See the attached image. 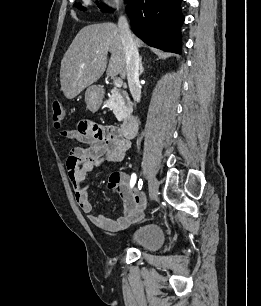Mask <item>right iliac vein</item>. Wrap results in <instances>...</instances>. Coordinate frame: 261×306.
Masks as SVG:
<instances>
[{
  "instance_id": "63e3f726",
  "label": "right iliac vein",
  "mask_w": 261,
  "mask_h": 306,
  "mask_svg": "<svg viewBox=\"0 0 261 306\" xmlns=\"http://www.w3.org/2000/svg\"><path fill=\"white\" fill-rule=\"evenodd\" d=\"M148 184H149L150 197L151 199H155L158 194V182L156 178L153 176H150Z\"/></svg>"
}]
</instances>
